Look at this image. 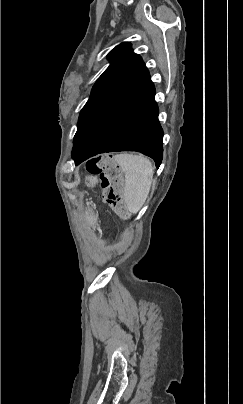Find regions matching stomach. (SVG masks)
<instances>
[{"label": "stomach", "mask_w": 243, "mask_h": 404, "mask_svg": "<svg viewBox=\"0 0 243 404\" xmlns=\"http://www.w3.org/2000/svg\"><path fill=\"white\" fill-rule=\"evenodd\" d=\"M88 216H89L88 221L90 222L91 225H94L95 222H96V220H97V217H96V215L92 212L91 209L88 210Z\"/></svg>", "instance_id": "0dacf381"}]
</instances>
